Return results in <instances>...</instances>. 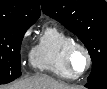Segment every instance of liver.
Here are the masks:
<instances>
[{
  "label": "liver",
  "mask_w": 107,
  "mask_h": 89,
  "mask_svg": "<svg viewBox=\"0 0 107 89\" xmlns=\"http://www.w3.org/2000/svg\"><path fill=\"white\" fill-rule=\"evenodd\" d=\"M2 89H74L46 75H35L2 87Z\"/></svg>",
  "instance_id": "liver-1"
}]
</instances>
